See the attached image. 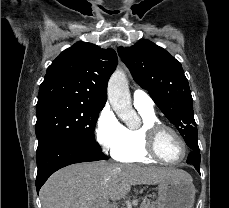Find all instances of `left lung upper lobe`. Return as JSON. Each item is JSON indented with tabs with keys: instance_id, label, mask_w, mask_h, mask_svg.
I'll list each match as a JSON object with an SVG mask.
<instances>
[{
	"instance_id": "left-lung-upper-lobe-1",
	"label": "left lung upper lobe",
	"mask_w": 229,
	"mask_h": 208,
	"mask_svg": "<svg viewBox=\"0 0 229 208\" xmlns=\"http://www.w3.org/2000/svg\"><path fill=\"white\" fill-rule=\"evenodd\" d=\"M117 50L136 83L149 92L182 137L198 135L193 99L180 62L149 40Z\"/></svg>"
}]
</instances>
